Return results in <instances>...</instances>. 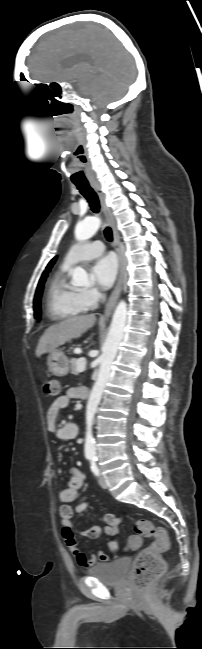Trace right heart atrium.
I'll use <instances>...</instances> for the list:
<instances>
[{"label": "right heart atrium", "instance_id": "obj_1", "mask_svg": "<svg viewBox=\"0 0 202 649\" xmlns=\"http://www.w3.org/2000/svg\"><path fill=\"white\" fill-rule=\"evenodd\" d=\"M101 297V293L96 288L85 289L81 291V299L87 308L94 307Z\"/></svg>", "mask_w": 202, "mask_h": 649}]
</instances>
